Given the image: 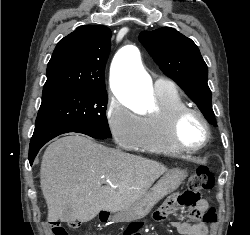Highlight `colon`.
Listing matches in <instances>:
<instances>
[{"label": "colon", "instance_id": "5ec220e1", "mask_svg": "<svg viewBox=\"0 0 250 235\" xmlns=\"http://www.w3.org/2000/svg\"><path fill=\"white\" fill-rule=\"evenodd\" d=\"M215 183V174L206 166L196 169L188 180L187 189L181 194L179 202L188 207H195L201 199L203 191L211 190ZM154 218V217H153ZM205 223L216 222V212L213 208L205 211L202 216ZM54 235H70L66 227L58 221L50 222Z\"/></svg>", "mask_w": 250, "mask_h": 235}]
</instances>
